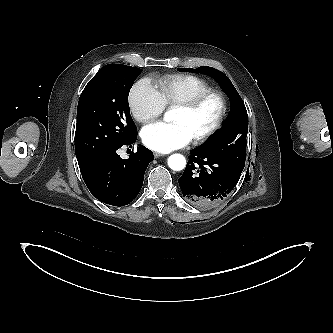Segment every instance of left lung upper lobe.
Here are the masks:
<instances>
[{"mask_svg": "<svg viewBox=\"0 0 333 333\" xmlns=\"http://www.w3.org/2000/svg\"><path fill=\"white\" fill-rule=\"evenodd\" d=\"M212 76L226 92L231 101L227 123L216 137L205 144L202 149L210 154L222 158L242 170L246 160V136L248 132V115L245 105L229 78L212 67H198L184 69Z\"/></svg>", "mask_w": 333, "mask_h": 333, "instance_id": "obj_1", "label": "left lung upper lobe"}]
</instances>
